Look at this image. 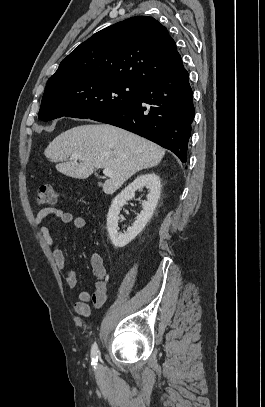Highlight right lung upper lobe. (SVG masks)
I'll return each instance as SVG.
<instances>
[{"instance_id": "right-lung-upper-lobe-1", "label": "right lung upper lobe", "mask_w": 265, "mask_h": 407, "mask_svg": "<svg viewBox=\"0 0 265 407\" xmlns=\"http://www.w3.org/2000/svg\"><path fill=\"white\" fill-rule=\"evenodd\" d=\"M179 57L175 41L162 24L153 17L136 16L81 43L48 82L98 77L144 85L170 72Z\"/></svg>"}]
</instances>
